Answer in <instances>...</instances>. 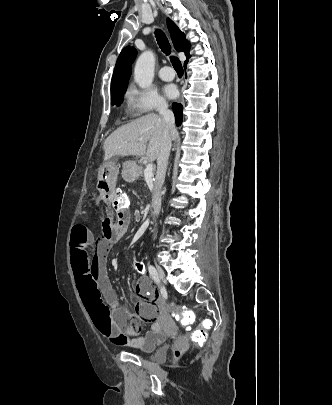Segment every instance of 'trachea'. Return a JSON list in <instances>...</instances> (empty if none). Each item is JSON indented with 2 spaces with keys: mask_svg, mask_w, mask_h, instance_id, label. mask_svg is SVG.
Here are the masks:
<instances>
[{
  "mask_svg": "<svg viewBox=\"0 0 332 405\" xmlns=\"http://www.w3.org/2000/svg\"><path fill=\"white\" fill-rule=\"evenodd\" d=\"M155 37H156L157 43H158L159 47L161 48V50L167 56L170 55L171 54V46L169 44V41H168L165 33L162 30L157 29L155 31ZM170 60H171V63L173 65L175 71L178 74L183 73V67H182V64H181L180 60L175 56H171Z\"/></svg>",
  "mask_w": 332,
  "mask_h": 405,
  "instance_id": "3493384b",
  "label": "trachea"
}]
</instances>
